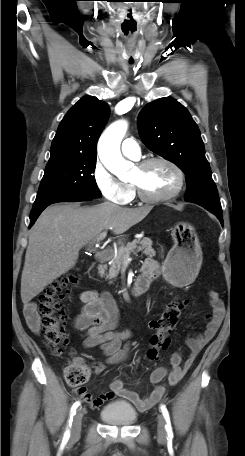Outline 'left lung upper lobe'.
I'll return each mask as SVG.
<instances>
[{
	"label": "left lung upper lobe",
	"mask_w": 245,
	"mask_h": 456,
	"mask_svg": "<svg viewBox=\"0 0 245 456\" xmlns=\"http://www.w3.org/2000/svg\"><path fill=\"white\" fill-rule=\"evenodd\" d=\"M138 128L147 148L185 173L186 201L222 213L200 130L188 110L174 98H160L141 110Z\"/></svg>",
	"instance_id": "left-lung-upper-lobe-1"
}]
</instances>
